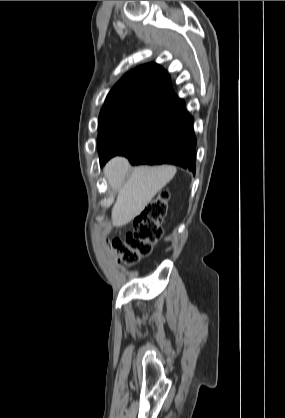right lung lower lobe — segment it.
<instances>
[{"label": "right lung lower lobe", "mask_w": 285, "mask_h": 418, "mask_svg": "<svg viewBox=\"0 0 285 418\" xmlns=\"http://www.w3.org/2000/svg\"><path fill=\"white\" fill-rule=\"evenodd\" d=\"M195 146L193 117L184 105L118 155L127 157L132 165L174 164L195 172ZM110 158L100 159L101 166Z\"/></svg>", "instance_id": "1"}]
</instances>
